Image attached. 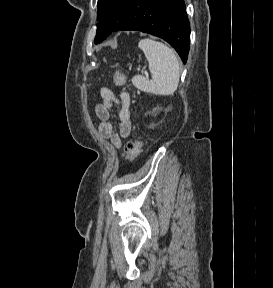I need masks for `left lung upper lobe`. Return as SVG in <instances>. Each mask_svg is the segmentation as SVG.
Here are the masks:
<instances>
[{
    "mask_svg": "<svg viewBox=\"0 0 273 288\" xmlns=\"http://www.w3.org/2000/svg\"><path fill=\"white\" fill-rule=\"evenodd\" d=\"M133 0H98V19L95 43L102 42L111 32L116 31L120 19L126 14Z\"/></svg>",
    "mask_w": 273,
    "mask_h": 288,
    "instance_id": "obj_1",
    "label": "left lung upper lobe"
}]
</instances>
